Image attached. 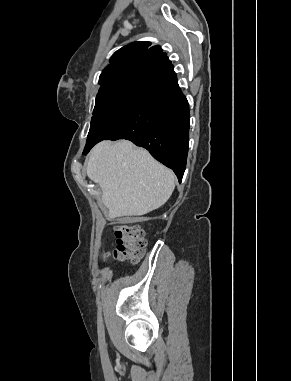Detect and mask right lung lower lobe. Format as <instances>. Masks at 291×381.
Instances as JSON below:
<instances>
[{
    "mask_svg": "<svg viewBox=\"0 0 291 381\" xmlns=\"http://www.w3.org/2000/svg\"><path fill=\"white\" fill-rule=\"evenodd\" d=\"M189 119L188 101L170 64L142 78L119 135L110 140L127 139L144 147L181 182L189 148Z\"/></svg>",
    "mask_w": 291,
    "mask_h": 381,
    "instance_id": "right-lung-lower-lobe-1",
    "label": "right lung lower lobe"
}]
</instances>
